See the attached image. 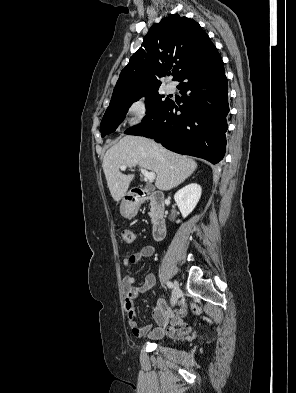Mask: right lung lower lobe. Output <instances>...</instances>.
<instances>
[{"mask_svg": "<svg viewBox=\"0 0 296 393\" xmlns=\"http://www.w3.org/2000/svg\"><path fill=\"white\" fill-rule=\"evenodd\" d=\"M177 81L183 105L177 106L170 99L154 118L143 120L125 133L152 138L169 150L216 164L225 154L229 106L227 78L215 46Z\"/></svg>", "mask_w": 296, "mask_h": 393, "instance_id": "98d812e1", "label": "right lung lower lobe"}]
</instances>
